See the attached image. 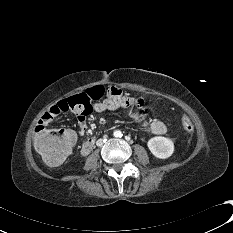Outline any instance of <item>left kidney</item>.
I'll return each instance as SVG.
<instances>
[{
  "label": "left kidney",
  "instance_id": "obj_1",
  "mask_svg": "<svg viewBox=\"0 0 233 233\" xmlns=\"http://www.w3.org/2000/svg\"><path fill=\"white\" fill-rule=\"evenodd\" d=\"M147 146L150 152L159 159H167L174 152V142L170 138L163 136L151 138Z\"/></svg>",
  "mask_w": 233,
  "mask_h": 233
}]
</instances>
